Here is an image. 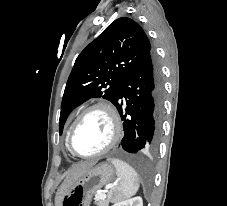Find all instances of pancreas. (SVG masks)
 I'll list each match as a JSON object with an SVG mask.
<instances>
[{"label":"pancreas","mask_w":227,"mask_h":206,"mask_svg":"<svg viewBox=\"0 0 227 206\" xmlns=\"http://www.w3.org/2000/svg\"><path fill=\"white\" fill-rule=\"evenodd\" d=\"M97 201L95 202L97 204V206H108L109 204V199L105 200V199H98L96 197Z\"/></svg>","instance_id":"cf45deb5"}]
</instances>
